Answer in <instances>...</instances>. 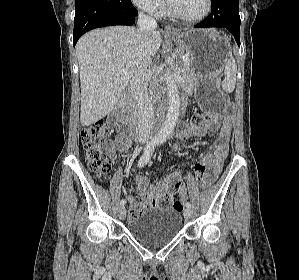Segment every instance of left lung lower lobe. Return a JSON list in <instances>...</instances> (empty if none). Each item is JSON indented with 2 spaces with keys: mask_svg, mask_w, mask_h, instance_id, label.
<instances>
[{
  "mask_svg": "<svg viewBox=\"0 0 299 280\" xmlns=\"http://www.w3.org/2000/svg\"><path fill=\"white\" fill-rule=\"evenodd\" d=\"M197 28L221 27L228 29L240 46L239 2L238 0H212L211 14Z\"/></svg>",
  "mask_w": 299,
  "mask_h": 280,
  "instance_id": "0a47b994",
  "label": "left lung lower lobe"
}]
</instances>
